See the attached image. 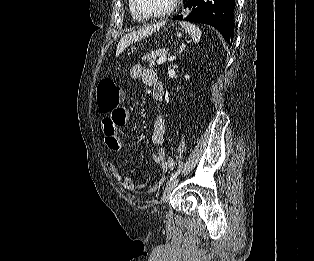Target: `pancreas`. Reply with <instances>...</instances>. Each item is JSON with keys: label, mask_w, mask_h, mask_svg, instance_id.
<instances>
[{"label": "pancreas", "mask_w": 314, "mask_h": 261, "mask_svg": "<svg viewBox=\"0 0 314 261\" xmlns=\"http://www.w3.org/2000/svg\"><path fill=\"white\" fill-rule=\"evenodd\" d=\"M167 50L166 49H158L156 51H152L151 53L144 55L142 57V61L146 63L149 67H154L156 65V59L158 57L166 55Z\"/></svg>", "instance_id": "cf45deb5"}]
</instances>
